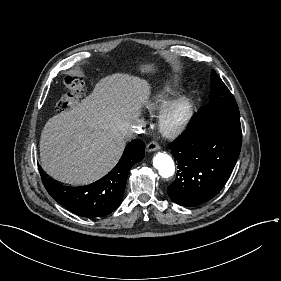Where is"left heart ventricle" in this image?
<instances>
[{
	"label": "left heart ventricle",
	"mask_w": 281,
	"mask_h": 281,
	"mask_svg": "<svg viewBox=\"0 0 281 281\" xmlns=\"http://www.w3.org/2000/svg\"><path fill=\"white\" fill-rule=\"evenodd\" d=\"M179 114H180V112L178 111V112H176V114H175V116L174 117H178L179 116Z\"/></svg>",
	"instance_id": "1"
}]
</instances>
